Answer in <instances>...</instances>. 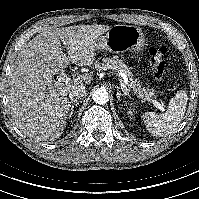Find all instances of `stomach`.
<instances>
[{
	"mask_svg": "<svg viewBox=\"0 0 199 199\" xmlns=\"http://www.w3.org/2000/svg\"><path fill=\"white\" fill-rule=\"evenodd\" d=\"M144 45L145 38L140 27L125 24L112 26L106 35L96 40L97 49H104L115 54H123L128 51L139 52Z\"/></svg>",
	"mask_w": 199,
	"mask_h": 199,
	"instance_id": "stomach-1",
	"label": "stomach"
}]
</instances>
